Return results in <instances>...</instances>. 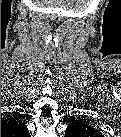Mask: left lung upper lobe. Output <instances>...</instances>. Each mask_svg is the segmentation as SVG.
Masks as SVG:
<instances>
[{
  "mask_svg": "<svg viewBox=\"0 0 121 137\" xmlns=\"http://www.w3.org/2000/svg\"><path fill=\"white\" fill-rule=\"evenodd\" d=\"M91 130V127L89 126V124L87 123H84V122H80V121H72L70 124H69V129L68 131L71 133V132H74V131H78V130Z\"/></svg>",
  "mask_w": 121,
  "mask_h": 137,
  "instance_id": "5c2ea615",
  "label": "left lung upper lobe"
}]
</instances>
